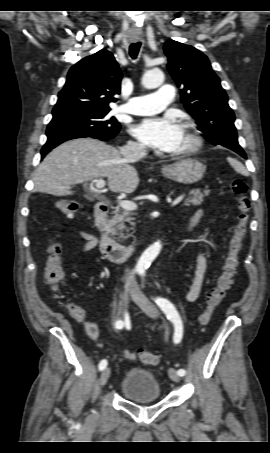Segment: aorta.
<instances>
[{
    "instance_id": "aorta-1",
    "label": "aorta",
    "mask_w": 270,
    "mask_h": 453,
    "mask_svg": "<svg viewBox=\"0 0 270 453\" xmlns=\"http://www.w3.org/2000/svg\"><path fill=\"white\" fill-rule=\"evenodd\" d=\"M164 81V74L160 69H152L146 72L142 78V84L145 88L152 89L160 86ZM161 243L156 242L152 244L141 255L137 267L144 269L151 264V262L158 256L161 250Z\"/></svg>"
}]
</instances>
